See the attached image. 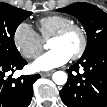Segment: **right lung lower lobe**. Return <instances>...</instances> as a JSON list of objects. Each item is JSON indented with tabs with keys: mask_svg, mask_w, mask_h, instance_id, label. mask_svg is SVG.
<instances>
[{
	"mask_svg": "<svg viewBox=\"0 0 107 107\" xmlns=\"http://www.w3.org/2000/svg\"><path fill=\"white\" fill-rule=\"evenodd\" d=\"M27 62L22 57L14 60L0 58V107H28L33 94V83L40 77L20 76L17 79L5 77L7 72L20 70Z\"/></svg>",
	"mask_w": 107,
	"mask_h": 107,
	"instance_id": "obj_1",
	"label": "right lung lower lobe"
}]
</instances>
